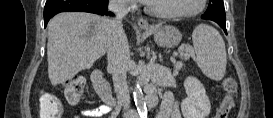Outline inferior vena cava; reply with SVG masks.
Here are the masks:
<instances>
[{"label":"inferior vena cava","instance_id":"1","mask_svg":"<svg viewBox=\"0 0 273 118\" xmlns=\"http://www.w3.org/2000/svg\"><path fill=\"white\" fill-rule=\"evenodd\" d=\"M108 8L116 15L109 20L108 26V71L112 74L118 102L124 110H127L130 107V94L126 82V73L131 60L122 19L129 12V8L126 0H110Z\"/></svg>","mask_w":273,"mask_h":118}]
</instances>
